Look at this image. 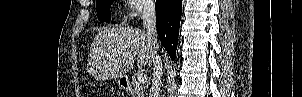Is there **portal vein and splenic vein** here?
Here are the masks:
<instances>
[{
	"label": "portal vein and splenic vein",
	"instance_id": "obj_1",
	"mask_svg": "<svg viewBox=\"0 0 302 97\" xmlns=\"http://www.w3.org/2000/svg\"><path fill=\"white\" fill-rule=\"evenodd\" d=\"M137 81H138V84H144L147 82V76L143 73H139L137 75Z\"/></svg>",
	"mask_w": 302,
	"mask_h": 97
}]
</instances>
